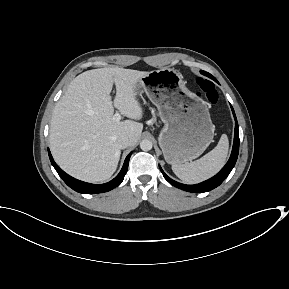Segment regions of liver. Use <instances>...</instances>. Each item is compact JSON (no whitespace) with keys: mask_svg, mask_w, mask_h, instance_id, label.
<instances>
[{"mask_svg":"<svg viewBox=\"0 0 289 289\" xmlns=\"http://www.w3.org/2000/svg\"><path fill=\"white\" fill-rule=\"evenodd\" d=\"M149 72L120 67L85 71L74 78L56 103L50 125V149L68 174L87 182H103L116 171L121 155L117 139L139 140L143 124L113 120L114 107L124 116L140 120L143 110L136 84ZM116 86L114 101L110 95Z\"/></svg>","mask_w":289,"mask_h":289,"instance_id":"liver-1","label":"liver"}]
</instances>
